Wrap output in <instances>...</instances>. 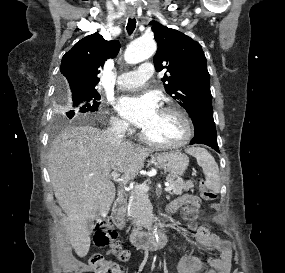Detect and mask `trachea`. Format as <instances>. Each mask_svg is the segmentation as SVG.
Listing matches in <instances>:
<instances>
[{"label":"trachea","mask_w":285,"mask_h":273,"mask_svg":"<svg viewBox=\"0 0 285 273\" xmlns=\"http://www.w3.org/2000/svg\"><path fill=\"white\" fill-rule=\"evenodd\" d=\"M135 28H136V20L129 18L127 26H126L128 34L129 35L132 34Z\"/></svg>","instance_id":"3493384b"}]
</instances>
